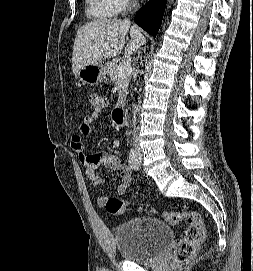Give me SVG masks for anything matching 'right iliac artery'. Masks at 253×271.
<instances>
[{
	"label": "right iliac artery",
	"mask_w": 253,
	"mask_h": 271,
	"mask_svg": "<svg viewBox=\"0 0 253 271\" xmlns=\"http://www.w3.org/2000/svg\"><path fill=\"white\" fill-rule=\"evenodd\" d=\"M128 162L131 169H134V170L138 169V159L133 149L130 150Z\"/></svg>",
	"instance_id": "1"
}]
</instances>
